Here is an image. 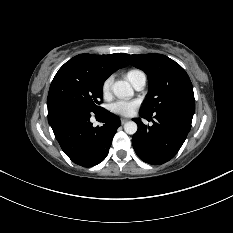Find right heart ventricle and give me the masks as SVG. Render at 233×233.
<instances>
[{
  "label": "right heart ventricle",
  "mask_w": 233,
  "mask_h": 233,
  "mask_svg": "<svg viewBox=\"0 0 233 233\" xmlns=\"http://www.w3.org/2000/svg\"><path fill=\"white\" fill-rule=\"evenodd\" d=\"M126 78L128 81L134 85L140 78L145 77V74L142 70L140 69H130L125 73Z\"/></svg>",
  "instance_id": "e07e8e85"
}]
</instances>
